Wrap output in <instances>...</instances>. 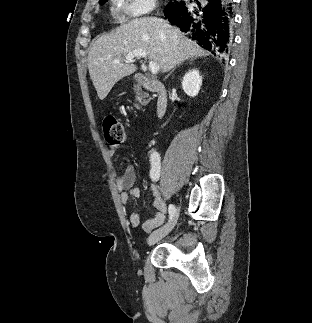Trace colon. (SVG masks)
I'll return each mask as SVG.
<instances>
[{"instance_id":"obj_1","label":"colon","mask_w":312,"mask_h":323,"mask_svg":"<svg viewBox=\"0 0 312 323\" xmlns=\"http://www.w3.org/2000/svg\"><path fill=\"white\" fill-rule=\"evenodd\" d=\"M148 101V95L139 92L137 94V103L142 105ZM104 139L108 145H119L123 143L127 136V130L124 124L114 116H108L102 121Z\"/></svg>"}]
</instances>
